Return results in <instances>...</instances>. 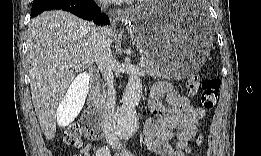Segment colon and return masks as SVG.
<instances>
[{
  "label": "colon",
  "instance_id": "1",
  "mask_svg": "<svg viewBox=\"0 0 261 156\" xmlns=\"http://www.w3.org/2000/svg\"><path fill=\"white\" fill-rule=\"evenodd\" d=\"M220 85L221 82L216 77H210L200 81L199 75L195 73L192 74L187 81V91L189 94L194 95L201 89V104L204 109L211 110L217 103ZM85 135L92 139L99 138L101 136V129L96 124L88 125L85 128ZM62 141L69 147H81L83 143L81 127L78 124L68 126L62 135ZM195 143L197 146H202L204 137L198 135L195 139Z\"/></svg>",
  "mask_w": 261,
  "mask_h": 156
}]
</instances>
